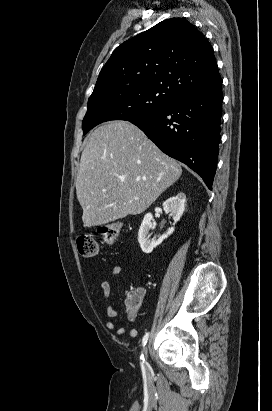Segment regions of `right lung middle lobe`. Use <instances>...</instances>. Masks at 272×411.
I'll list each match as a JSON object with an SVG mask.
<instances>
[{
	"instance_id": "obj_1",
	"label": "right lung middle lobe",
	"mask_w": 272,
	"mask_h": 411,
	"mask_svg": "<svg viewBox=\"0 0 272 411\" xmlns=\"http://www.w3.org/2000/svg\"><path fill=\"white\" fill-rule=\"evenodd\" d=\"M176 98L168 90L154 87H127L93 92L82 122L86 134L96 125L110 120L133 121L154 115Z\"/></svg>"
}]
</instances>
